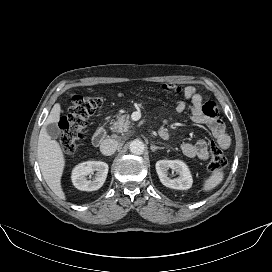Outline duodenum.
<instances>
[{"instance_id": "410a0bca", "label": "duodenum", "mask_w": 272, "mask_h": 272, "mask_svg": "<svg viewBox=\"0 0 272 272\" xmlns=\"http://www.w3.org/2000/svg\"><path fill=\"white\" fill-rule=\"evenodd\" d=\"M106 138V130L104 127H99L95 130L92 136V143L94 146H99Z\"/></svg>"}]
</instances>
